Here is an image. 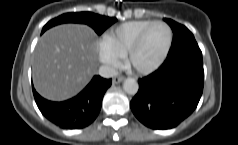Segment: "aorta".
<instances>
[{
  "mask_svg": "<svg viewBox=\"0 0 238 145\" xmlns=\"http://www.w3.org/2000/svg\"><path fill=\"white\" fill-rule=\"evenodd\" d=\"M124 91L129 95H135L138 92L139 85L133 78H127L123 83Z\"/></svg>",
  "mask_w": 238,
  "mask_h": 145,
  "instance_id": "762f6f07",
  "label": "aorta"
}]
</instances>
